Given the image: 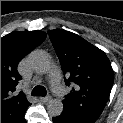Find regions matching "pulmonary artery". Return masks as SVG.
I'll return each mask as SVG.
<instances>
[{
  "mask_svg": "<svg viewBox=\"0 0 123 123\" xmlns=\"http://www.w3.org/2000/svg\"><path fill=\"white\" fill-rule=\"evenodd\" d=\"M50 80H51V87L55 94L58 96H64L65 89L60 82V74L57 68L53 67L50 70Z\"/></svg>",
  "mask_w": 123,
  "mask_h": 123,
  "instance_id": "pulmonary-artery-1",
  "label": "pulmonary artery"
}]
</instances>
